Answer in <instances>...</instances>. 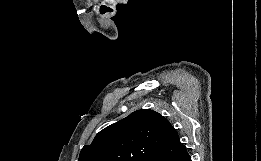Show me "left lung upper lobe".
Masks as SVG:
<instances>
[{
  "mask_svg": "<svg viewBox=\"0 0 261 161\" xmlns=\"http://www.w3.org/2000/svg\"><path fill=\"white\" fill-rule=\"evenodd\" d=\"M176 135L170 122L158 112L137 110L100 131L90 145L82 148L78 161H150Z\"/></svg>",
  "mask_w": 261,
  "mask_h": 161,
  "instance_id": "5c2ea615",
  "label": "left lung upper lobe"
}]
</instances>
